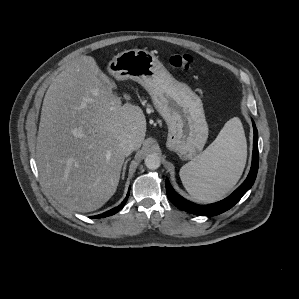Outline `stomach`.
<instances>
[{
    "label": "stomach",
    "mask_w": 299,
    "mask_h": 299,
    "mask_svg": "<svg viewBox=\"0 0 299 299\" xmlns=\"http://www.w3.org/2000/svg\"><path fill=\"white\" fill-rule=\"evenodd\" d=\"M118 80L132 79L142 85L168 126L166 146L183 160L201 154L208 138V125L201 99L177 81L152 53L144 49L123 51L108 64Z\"/></svg>",
    "instance_id": "stomach-1"
}]
</instances>
